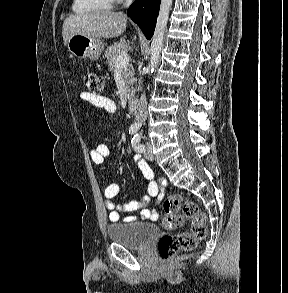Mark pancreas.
Wrapping results in <instances>:
<instances>
[{
    "instance_id": "pancreas-1",
    "label": "pancreas",
    "mask_w": 288,
    "mask_h": 293,
    "mask_svg": "<svg viewBox=\"0 0 288 293\" xmlns=\"http://www.w3.org/2000/svg\"><path fill=\"white\" fill-rule=\"evenodd\" d=\"M127 53V45L124 40H120L119 42L114 43L113 45L109 46L105 51V58L109 65L110 71H116V60L117 58ZM122 76L124 78L126 89H127V96L130 99L134 95V72L132 69V65H126L122 68Z\"/></svg>"
}]
</instances>
